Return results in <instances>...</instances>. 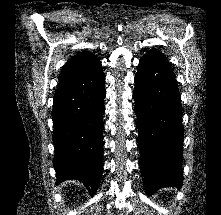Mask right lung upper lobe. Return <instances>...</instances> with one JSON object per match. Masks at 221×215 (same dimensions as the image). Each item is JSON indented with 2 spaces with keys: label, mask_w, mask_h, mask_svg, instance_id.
I'll return each instance as SVG.
<instances>
[{
  "label": "right lung upper lobe",
  "mask_w": 221,
  "mask_h": 215,
  "mask_svg": "<svg viewBox=\"0 0 221 215\" xmlns=\"http://www.w3.org/2000/svg\"><path fill=\"white\" fill-rule=\"evenodd\" d=\"M101 69L100 60L90 52H80L64 65L58 87L90 76Z\"/></svg>",
  "instance_id": "right-lung-upper-lobe-1"
}]
</instances>
